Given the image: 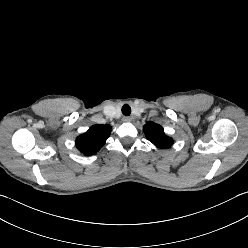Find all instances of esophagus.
Wrapping results in <instances>:
<instances>
[{"label": "esophagus", "instance_id": "obj_1", "mask_svg": "<svg viewBox=\"0 0 248 248\" xmlns=\"http://www.w3.org/2000/svg\"><path fill=\"white\" fill-rule=\"evenodd\" d=\"M123 121L124 122H130L131 121V118L129 116H124L123 117Z\"/></svg>", "mask_w": 248, "mask_h": 248}]
</instances>
